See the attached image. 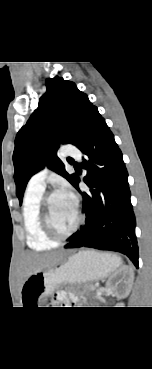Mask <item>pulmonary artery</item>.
Segmentation results:
<instances>
[{
	"label": "pulmonary artery",
	"instance_id": "pulmonary-artery-1",
	"mask_svg": "<svg viewBox=\"0 0 152 369\" xmlns=\"http://www.w3.org/2000/svg\"><path fill=\"white\" fill-rule=\"evenodd\" d=\"M61 154L63 156H71L75 158L80 157V151L71 145H65L63 146L61 150ZM48 169L44 168L35 174L32 175V177L29 179L28 187L31 189H41L44 190L45 188V179L47 177Z\"/></svg>",
	"mask_w": 152,
	"mask_h": 369
}]
</instances>
